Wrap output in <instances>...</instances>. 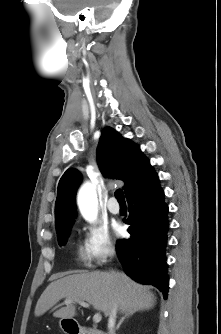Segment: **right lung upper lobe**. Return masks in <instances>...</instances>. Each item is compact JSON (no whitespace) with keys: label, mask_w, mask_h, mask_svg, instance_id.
<instances>
[{"label":"right lung upper lobe","mask_w":221,"mask_h":334,"mask_svg":"<svg viewBox=\"0 0 221 334\" xmlns=\"http://www.w3.org/2000/svg\"><path fill=\"white\" fill-rule=\"evenodd\" d=\"M97 162L105 176L125 182L126 197L145 185L156 173L139 146L122 138L111 127H105L97 148ZM81 181L76 170H67L58 184L56 199V232L71 226L75 218V191Z\"/></svg>","instance_id":"cb5924a9"}]
</instances>
